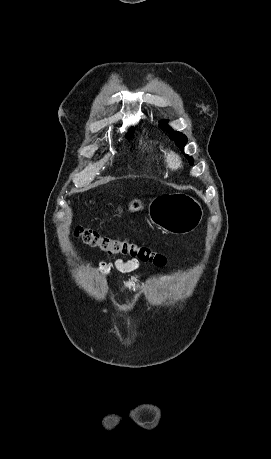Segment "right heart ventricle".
<instances>
[{"instance_id": "right-heart-ventricle-1", "label": "right heart ventricle", "mask_w": 271, "mask_h": 459, "mask_svg": "<svg viewBox=\"0 0 271 459\" xmlns=\"http://www.w3.org/2000/svg\"><path fill=\"white\" fill-rule=\"evenodd\" d=\"M143 148L150 166L157 169H164L167 167L165 151L161 149H153L148 140L143 142Z\"/></svg>"}]
</instances>
